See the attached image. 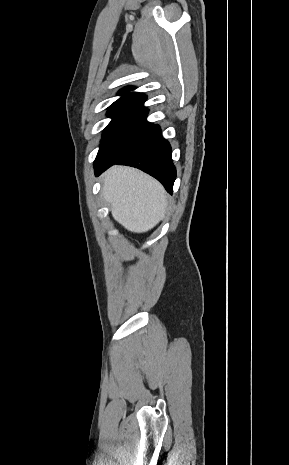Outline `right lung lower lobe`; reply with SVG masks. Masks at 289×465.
<instances>
[{
	"label": "right lung lower lobe",
	"mask_w": 289,
	"mask_h": 465,
	"mask_svg": "<svg viewBox=\"0 0 289 465\" xmlns=\"http://www.w3.org/2000/svg\"><path fill=\"white\" fill-rule=\"evenodd\" d=\"M114 164L129 165L143 170L159 180L172 194L176 169L171 158V146L161 135L158 125L152 128L124 155L115 161L94 162L95 175Z\"/></svg>",
	"instance_id": "right-lung-lower-lobe-1"
}]
</instances>
